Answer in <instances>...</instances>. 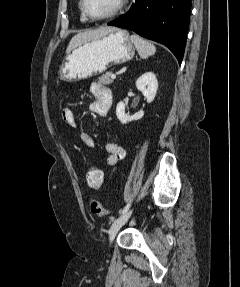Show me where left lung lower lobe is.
Listing matches in <instances>:
<instances>
[{"label":"left lung lower lobe","instance_id":"left-lung-lower-lobe-1","mask_svg":"<svg viewBox=\"0 0 240 287\" xmlns=\"http://www.w3.org/2000/svg\"><path fill=\"white\" fill-rule=\"evenodd\" d=\"M191 0H135L129 11L108 25L132 30L167 46L182 62Z\"/></svg>","mask_w":240,"mask_h":287}]
</instances>
